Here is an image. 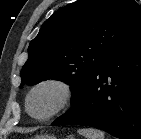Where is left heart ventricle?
<instances>
[{
    "label": "left heart ventricle",
    "mask_w": 141,
    "mask_h": 139,
    "mask_svg": "<svg viewBox=\"0 0 141 139\" xmlns=\"http://www.w3.org/2000/svg\"><path fill=\"white\" fill-rule=\"evenodd\" d=\"M60 98L61 94L55 87H42L32 95L30 109L36 116H45L55 109Z\"/></svg>",
    "instance_id": "obj_1"
}]
</instances>
